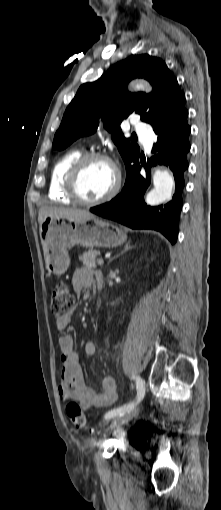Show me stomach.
Wrapping results in <instances>:
<instances>
[{
    "label": "stomach",
    "mask_w": 221,
    "mask_h": 510,
    "mask_svg": "<svg viewBox=\"0 0 221 510\" xmlns=\"http://www.w3.org/2000/svg\"><path fill=\"white\" fill-rule=\"evenodd\" d=\"M40 238L48 271L62 275L69 267L68 250L73 246L116 247L126 241L127 235L115 224L95 217L69 220L48 216L40 225Z\"/></svg>",
    "instance_id": "1"
}]
</instances>
